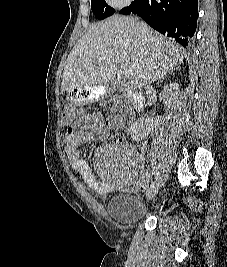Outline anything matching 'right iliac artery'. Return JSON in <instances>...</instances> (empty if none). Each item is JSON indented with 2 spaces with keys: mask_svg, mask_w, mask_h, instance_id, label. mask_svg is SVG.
<instances>
[{
  "mask_svg": "<svg viewBox=\"0 0 227 267\" xmlns=\"http://www.w3.org/2000/svg\"><path fill=\"white\" fill-rule=\"evenodd\" d=\"M152 176H153V172H150L146 180L147 183H149V180L152 178Z\"/></svg>",
  "mask_w": 227,
  "mask_h": 267,
  "instance_id": "1",
  "label": "right iliac artery"
}]
</instances>
